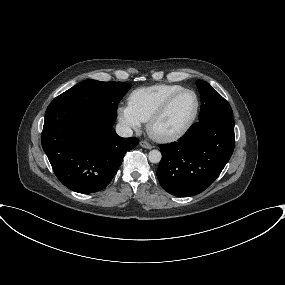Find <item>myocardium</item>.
<instances>
[{
	"instance_id": "myocardium-1",
	"label": "myocardium",
	"mask_w": 285,
	"mask_h": 285,
	"mask_svg": "<svg viewBox=\"0 0 285 285\" xmlns=\"http://www.w3.org/2000/svg\"><path fill=\"white\" fill-rule=\"evenodd\" d=\"M183 93H191L195 97V109L190 117V119L187 121V123L181 127L180 129L172 132H160L156 129V125L159 122V120L166 114L174 100L180 96ZM199 109H200V99L198 94L188 88H183L175 93H173L171 96H169L160 106L159 108L150 116V118L147 121V131L149 135L161 142H169V141H174L182 136H184L194 125L195 121L197 120L198 114H199Z\"/></svg>"
}]
</instances>
